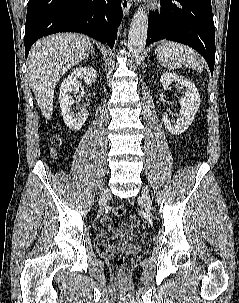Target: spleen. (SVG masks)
I'll return each mask as SVG.
<instances>
[{
  "label": "spleen",
  "mask_w": 239,
  "mask_h": 303,
  "mask_svg": "<svg viewBox=\"0 0 239 303\" xmlns=\"http://www.w3.org/2000/svg\"><path fill=\"white\" fill-rule=\"evenodd\" d=\"M159 63L169 70H175L182 65L198 72L203 70L200 55L192 48L173 41L162 42L155 50Z\"/></svg>",
  "instance_id": "3e777b00"
}]
</instances>
